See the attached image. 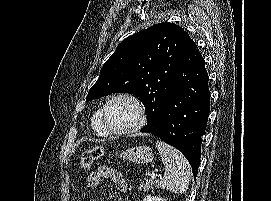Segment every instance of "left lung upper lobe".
<instances>
[{
  "instance_id": "1",
  "label": "left lung upper lobe",
  "mask_w": 271,
  "mask_h": 201,
  "mask_svg": "<svg viewBox=\"0 0 271 201\" xmlns=\"http://www.w3.org/2000/svg\"><path fill=\"white\" fill-rule=\"evenodd\" d=\"M184 33L178 25L165 22L123 40L101 68L86 101L114 92L136 95L145 106L144 127H156L179 67Z\"/></svg>"
}]
</instances>
